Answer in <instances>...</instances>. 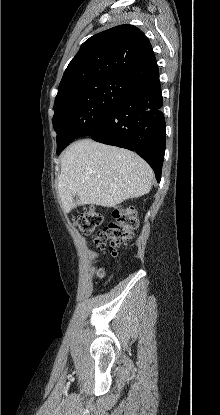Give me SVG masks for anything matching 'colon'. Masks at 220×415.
Wrapping results in <instances>:
<instances>
[{"label": "colon", "mask_w": 220, "mask_h": 415, "mask_svg": "<svg viewBox=\"0 0 220 415\" xmlns=\"http://www.w3.org/2000/svg\"><path fill=\"white\" fill-rule=\"evenodd\" d=\"M103 221L102 213L93 207L86 208L81 214L72 218L74 226L80 232L86 235L95 234L98 249H108L113 254L120 245L133 237L138 227L135 212L125 206L115 208L111 215V222L102 230L97 231ZM99 275L103 276V271H100Z\"/></svg>", "instance_id": "obj_1"}]
</instances>
